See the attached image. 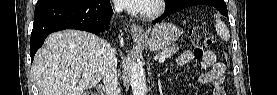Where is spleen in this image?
<instances>
[{
  "mask_svg": "<svg viewBox=\"0 0 277 95\" xmlns=\"http://www.w3.org/2000/svg\"><path fill=\"white\" fill-rule=\"evenodd\" d=\"M216 31L222 40L228 41L230 39L229 30L220 19H216Z\"/></svg>",
  "mask_w": 277,
  "mask_h": 95,
  "instance_id": "1",
  "label": "spleen"
}]
</instances>
